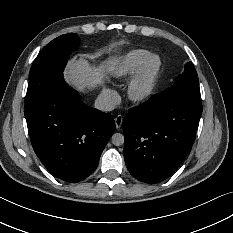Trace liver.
<instances>
[{
	"label": "liver",
	"instance_id": "6515ba94",
	"mask_svg": "<svg viewBox=\"0 0 233 233\" xmlns=\"http://www.w3.org/2000/svg\"><path fill=\"white\" fill-rule=\"evenodd\" d=\"M85 57L86 55H80L78 60L76 58L71 59L64 71L66 81L80 92L95 88L101 83L105 72H113L116 66V59L113 58L97 68L92 67Z\"/></svg>",
	"mask_w": 233,
	"mask_h": 233
}]
</instances>
